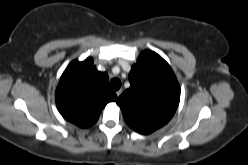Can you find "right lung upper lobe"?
<instances>
[{
	"mask_svg": "<svg viewBox=\"0 0 248 165\" xmlns=\"http://www.w3.org/2000/svg\"><path fill=\"white\" fill-rule=\"evenodd\" d=\"M108 81V75L96 69L92 58L71 62L56 89V105L60 114L82 128L93 125L105 105L117 99V95L109 89Z\"/></svg>",
	"mask_w": 248,
	"mask_h": 165,
	"instance_id": "obj_1",
	"label": "right lung upper lobe"
}]
</instances>
